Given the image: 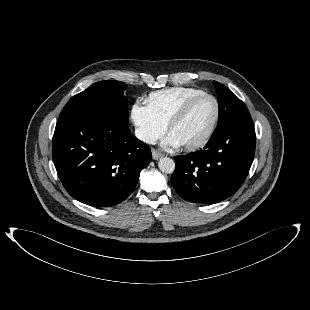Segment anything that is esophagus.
<instances>
[{
    "instance_id": "esophagus-1",
    "label": "esophagus",
    "mask_w": 310,
    "mask_h": 310,
    "mask_svg": "<svg viewBox=\"0 0 310 310\" xmlns=\"http://www.w3.org/2000/svg\"><path fill=\"white\" fill-rule=\"evenodd\" d=\"M162 157H163V154L160 153L158 150H156V149L152 150V158H153V160H159Z\"/></svg>"
}]
</instances>
